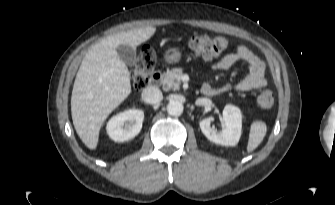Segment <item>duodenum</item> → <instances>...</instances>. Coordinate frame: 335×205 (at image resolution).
<instances>
[{
    "instance_id": "obj_1",
    "label": "duodenum",
    "mask_w": 335,
    "mask_h": 205,
    "mask_svg": "<svg viewBox=\"0 0 335 205\" xmlns=\"http://www.w3.org/2000/svg\"><path fill=\"white\" fill-rule=\"evenodd\" d=\"M162 79V73L161 71H155L152 73L150 77V85L151 86H158ZM201 93L207 96L215 95L217 93L216 90L211 88L210 86L204 85L201 88Z\"/></svg>"
}]
</instances>
